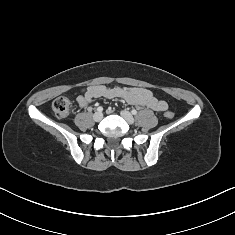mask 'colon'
Here are the masks:
<instances>
[{"instance_id":"colon-1","label":"colon","mask_w":235,"mask_h":235,"mask_svg":"<svg viewBox=\"0 0 235 235\" xmlns=\"http://www.w3.org/2000/svg\"><path fill=\"white\" fill-rule=\"evenodd\" d=\"M52 109L56 117L60 119L67 118L72 111V103L66 97H58L53 101ZM165 117L168 119H172L174 117V113L168 111L165 113Z\"/></svg>"}]
</instances>
